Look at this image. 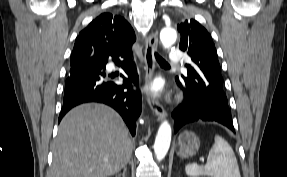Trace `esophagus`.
<instances>
[{"instance_id": "esophagus-1", "label": "esophagus", "mask_w": 287, "mask_h": 177, "mask_svg": "<svg viewBox=\"0 0 287 177\" xmlns=\"http://www.w3.org/2000/svg\"><path fill=\"white\" fill-rule=\"evenodd\" d=\"M158 47V32H152L146 37V46L144 49L145 57V70H146V81L150 83L153 77L155 69V60L154 52ZM148 104L152 112L158 117V120L161 121L165 117V110L163 106L156 100L154 97H148Z\"/></svg>"}]
</instances>
